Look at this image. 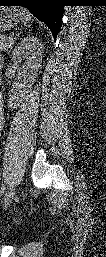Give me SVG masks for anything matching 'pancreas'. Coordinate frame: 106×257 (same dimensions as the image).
<instances>
[{
	"instance_id": "pancreas-1",
	"label": "pancreas",
	"mask_w": 106,
	"mask_h": 257,
	"mask_svg": "<svg viewBox=\"0 0 106 257\" xmlns=\"http://www.w3.org/2000/svg\"><path fill=\"white\" fill-rule=\"evenodd\" d=\"M14 44V39L10 36L1 35L0 36V51H8L12 48Z\"/></svg>"
}]
</instances>
